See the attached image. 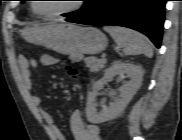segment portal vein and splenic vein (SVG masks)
<instances>
[{
    "label": "portal vein and splenic vein",
    "mask_w": 182,
    "mask_h": 140,
    "mask_svg": "<svg viewBox=\"0 0 182 140\" xmlns=\"http://www.w3.org/2000/svg\"><path fill=\"white\" fill-rule=\"evenodd\" d=\"M103 62H106V58L105 57H102L101 59Z\"/></svg>",
    "instance_id": "18ae733b"
}]
</instances>
